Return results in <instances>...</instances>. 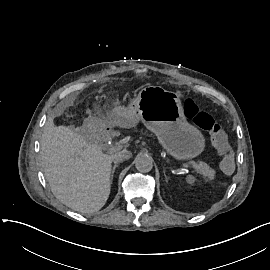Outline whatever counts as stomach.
<instances>
[{
    "mask_svg": "<svg viewBox=\"0 0 270 270\" xmlns=\"http://www.w3.org/2000/svg\"><path fill=\"white\" fill-rule=\"evenodd\" d=\"M122 121L140 119L154 133L162 148L177 161L192 160L206 147L203 133L190 124L184 114L180 96L160 86L142 88L135 100L121 112Z\"/></svg>",
    "mask_w": 270,
    "mask_h": 270,
    "instance_id": "0dacf381",
    "label": "stomach"
}]
</instances>
